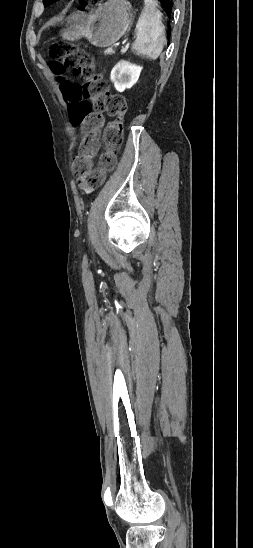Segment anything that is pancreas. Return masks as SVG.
<instances>
[{"label": "pancreas", "instance_id": "1", "mask_svg": "<svg viewBox=\"0 0 253 548\" xmlns=\"http://www.w3.org/2000/svg\"><path fill=\"white\" fill-rule=\"evenodd\" d=\"M106 54H114V51L113 50H107Z\"/></svg>", "mask_w": 253, "mask_h": 548}]
</instances>
